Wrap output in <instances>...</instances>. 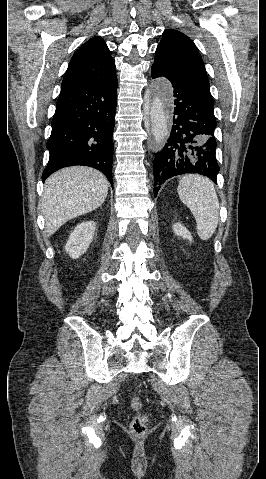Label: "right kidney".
I'll list each match as a JSON object with an SVG mask.
<instances>
[{
    "label": "right kidney",
    "mask_w": 266,
    "mask_h": 479,
    "mask_svg": "<svg viewBox=\"0 0 266 479\" xmlns=\"http://www.w3.org/2000/svg\"><path fill=\"white\" fill-rule=\"evenodd\" d=\"M96 229L94 221L78 224L70 234L65 250L73 259L79 258L89 248Z\"/></svg>",
    "instance_id": "obj_1"
}]
</instances>
